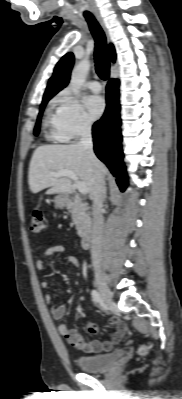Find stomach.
Listing matches in <instances>:
<instances>
[{
	"instance_id": "1",
	"label": "stomach",
	"mask_w": 182,
	"mask_h": 399,
	"mask_svg": "<svg viewBox=\"0 0 182 399\" xmlns=\"http://www.w3.org/2000/svg\"><path fill=\"white\" fill-rule=\"evenodd\" d=\"M53 201L57 208H65L69 205L68 196L66 194L57 195Z\"/></svg>"
}]
</instances>
